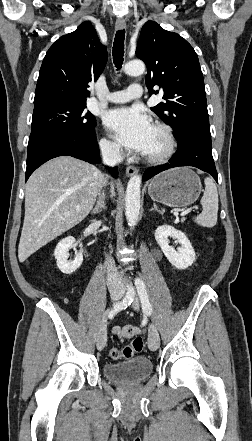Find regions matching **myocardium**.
Listing matches in <instances>:
<instances>
[{
  "label": "myocardium",
  "instance_id": "myocardium-1",
  "mask_svg": "<svg viewBox=\"0 0 252 441\" xmlns=\"http://www.w3.org/2000/svg\"><path fill=\"white\" fill-rule=\"evenodd\" d=\"M158 131H160L165 139L166 147L159 153L154 155H144V158L149 163L159 164L167 161L174 153L176 147V141L172 129L165 123L157 122L154 125Z\"/></svg>",
  "mask_w": 252,
  "mask_h": 441
}]
</instances>
